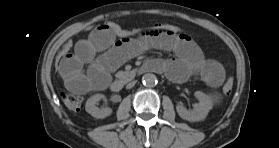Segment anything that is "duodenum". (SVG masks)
I'll list each match as a JSON object with an SVG mask.
<instances>
[{"label": "duodenum", "instance_id": "1", "mask_svg": "<svg viewBox=\"0 0 279 148\" xmlns=\"http://www.w3.org/2000/svg\"><path fill=\"white\" fill-rule=\"evenodd\" d=\"M153 69H154V64L151 61H149V62H146L145 64H143L142 66H140L137 69V73L140 75L144 72H147V71H150ZM124 85H125V81L123 79H116L110 84V88L112 91L118 92L123 88Z\"/></svg>", "mask_w": 279, "mask_h": 148}]
</instances>
